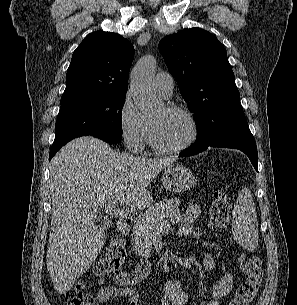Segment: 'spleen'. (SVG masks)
Returning a JSON list of instances; mask_svg holds the SVG:
<instances>
[{
  "label": "spleen",
  "mask_w": 297,
  "mask_h": 305,
  "mask_svg": "<svg viewBox=\"0 0 297 305\" xmlns=\"http://www.w3.org/2000/svg\"><path fill=\"white\" fill-rule=\"evenodd\" d=\"M232 232L234 236L253 249L258 243L257 215L252 194L244 187L238 194L236 205L232 213Z\"/></svg>",
  "instance_id": "spleen-1"
}]
</instances>
